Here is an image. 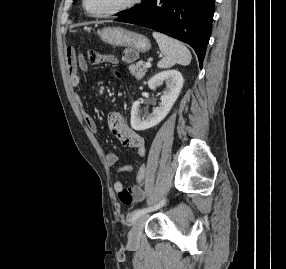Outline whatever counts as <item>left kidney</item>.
<instances>
[{
	"mask_svg": "<svg viewBox=\"0 0 286 269\" xmlns=\"http://www.w3.org/2000/svg\"><path fill=\"white\" fill-rule=\"evenodd\" d=\"M163 82L166 83V89L161 96L159 107L153 109L152 114L145 118L140 117V102L135 101L131 109V127L134 130L142 131L156 126L169 113L177 100L183 87V77L177 70H167L153 76L148 81L150 89L160 86Z\"/></svg>",
	"mask_w": 286,
	"mask_h": 269,
	"instance_id": "left-kidney-1",
	"label": "left kidney"
}]
</instances>
